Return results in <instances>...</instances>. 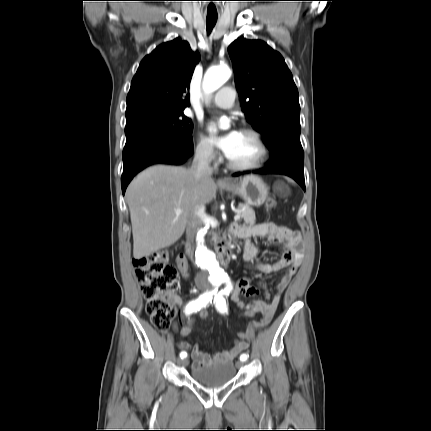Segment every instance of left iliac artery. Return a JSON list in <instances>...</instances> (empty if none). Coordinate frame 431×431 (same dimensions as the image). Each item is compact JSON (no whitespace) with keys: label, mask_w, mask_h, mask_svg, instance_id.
Segmentation results:
<instances>
[{"label":"left iliac artery","mask_w":431,"mask_h":431,"mask_svg":"<svg viewBox=\"0 0 431 431\" xmlns=\"http://www.w3.org/2000/svg\"><path fill=\"white\" fill-rule=\"evenodd\" d=\"M224 282L227 284V287L221 292H219L218 294H216L214 298V304L217 310L221 313H227L228 311V306H227L225 297L229 295L230 285H231V282L229 281V279H225ZM247 357L248 356L246 354H243L240 356V360L245 361L247 360Z\"/></svg>","instance_id":"obj_1"}]
</instances>
